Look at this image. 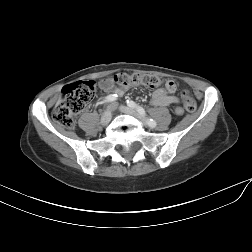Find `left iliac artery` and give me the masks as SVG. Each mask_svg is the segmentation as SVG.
Returning <instances> with one entry per match:
<instances>
[{
    "mask_svg": "<svg viewBox=\"0 0 252 252\" xmlns=\"http://www.w3.org/2000/svg\"><path fill=\"white\" fill-rule=\"evenodd\" d=\"M127 105L133 109H135L141 116L145 117L146 113L145 110L140 107L139 105H137L134 101L132 100H127ZM147 124L154 128L156 126V121L151 119V118H147Z\"/></svg>",
    "mask_w": 252,
    "mask_h": 252,
    "instance_id": "44dca946",
    "label": "left iliac artery"
}]
</instances>
